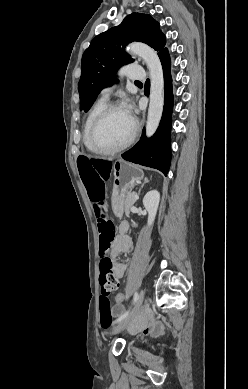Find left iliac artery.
Returning a JSON list of instances; mask_svg holds the SVG:
<instances>
[{
    "label": "left iliac artery",
    "mask_w": 248,
    "mask_h": 389,
    "mask_svg": "<svg viewBox=\"0 0 248 389\" xmlns=\"http://www.w3.org/2000/svg\"><path fill=\"white\" fill-rule=\"evenodd\" d=\"M139 294L135 292L134 297H133V303H135L138 300ZM129 314V310L125 312L116 322H120L123 320L127 315Z\"/></svg>",
    "instance_id": "44dca946"
}]
</instances>
